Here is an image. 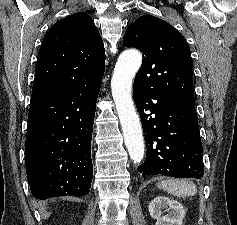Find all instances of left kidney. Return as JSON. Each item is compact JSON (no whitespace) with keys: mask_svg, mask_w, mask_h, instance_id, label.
I'll return each instance as SVG.
<instances>
[{"mask_svg":"<svg viewBox=\"0 0 237 225\" xmlns=\"http://www.w3.org/2000/svg\"><path fill=\"white\" fill-rule=\"evenodd\" d=\"M162 210L167 214L162 216ZM149 213L157 220L155 225H182L185 216L182 204L165 196H158L150 202Z\"/></svg>","mask_w":237,"mask_h":225,"instance_id":"left-kidney-1","label":"left kidney"}]
</instances>
